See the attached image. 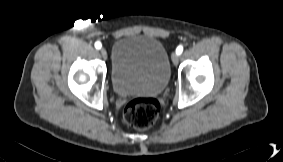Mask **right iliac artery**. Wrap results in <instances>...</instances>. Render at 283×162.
Returning a JSON list of instances; mask_svg holds the SVG:
<instances>
[{"label": "right iliac artery", "mask_w": 283, "mask_h": 162, "mask_svg": "<svg viewBox=\"0 0 283 162\" xmlns=\"http://www.w3.org/2000/svg\"><path fill=\"white\" fill-rule=\"evenodd\" d=\"M101 46H102V45H101V43H100V42H96V43H95V48H96V49H100V48H101Z\"/></svg>", "instance_id": "right-iliac-artery-1"}]
</instances>
